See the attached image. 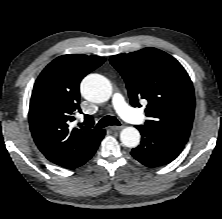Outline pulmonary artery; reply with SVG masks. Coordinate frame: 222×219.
<instances>
[{
	"mask_svg": "<svg viewBox=\"0 0 222 219\" xmlns=\"http://www.w3.org/2000/svg\"><path fill=\"white\" fill-rule=\"evenodd\" d=\"M113 104L118 114L126 121L134 124H142L145 121L143 114L129 107L120 94L113 96Z\"/></svg>",
	"mask_w": 222,
	"mask_h": 219,
	"instance_id": "obj_1",
	"label": "pulmonary artery"
}]
</instances>
